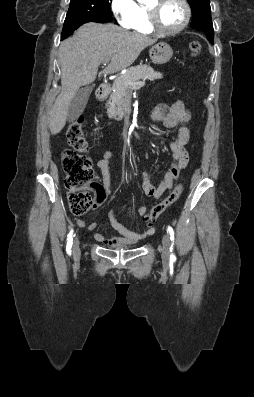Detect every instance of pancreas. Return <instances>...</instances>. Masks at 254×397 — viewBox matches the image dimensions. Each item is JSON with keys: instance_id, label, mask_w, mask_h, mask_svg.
<instances>
[{"instance_id": "cf45deb5", "label": "pancreas", "mask_w": 254, "mask_h": 397, "mask_svg": "<svg viewBox=\"0 0 254 397\" xmlns=\"http://www.w3.org/2000/svg\"><path fill=\"white\" fill-rule=\"evenodd\" d=\"M162 77L161 73L145 64L130 67L125 74L117 77L112 84V93L106 103L108 117L116 120L122 119L125 113V104L134 88L131 83H136L141 79L143 81H154Z\"/></svg>"}]
</instances>
